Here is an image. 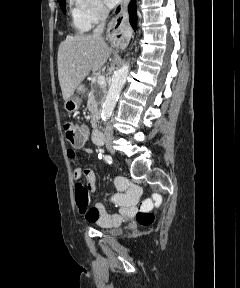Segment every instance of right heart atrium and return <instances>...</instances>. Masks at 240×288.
<instances>
[{
  "mask_svg": "<svg viewBox=\"0 0 240 288\" xmlns=\"http://www.w3.org/2000/svg\"><path fill=\"white\" fill-rule=\"evenodd\" d=\"M77 19L87 27L104 20L108 10L102 0H73Z\"/></svg>",
  "mask_w": 240,
  "mask_h": 288,
  "instance_id": "d8ad5b80",
  "label": "right heart atrium"
}]
</instances>
